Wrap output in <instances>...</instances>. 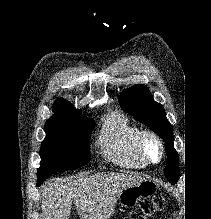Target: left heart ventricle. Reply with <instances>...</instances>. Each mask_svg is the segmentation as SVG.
I'll return each instance as SVG.
<instances>
[{
	"label": "left heart ventricle",
	"mask_w": 211,
	"mask_h": 219,
	"mask_svg": "<svg viewBox=\"0 0 211 219\" xmlns=\"http://www.w3.org/2000/svg\"><path fill=\"white\" fill-rule=\"evenodd\" d=\"M146 151L150 157H152L154 159H156L158 157V147L154 142L149 141L146 144Z\"/></svg>",
	"instance_id": "b2bd125f"
}]
</instances>
